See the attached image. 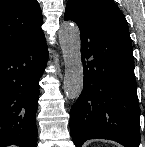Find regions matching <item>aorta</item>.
Here are the masks:
<instances>
[{"instance_id": "762f6f07", "label": "aorta", "mask_w": 145, "mask_h": 147, "mask_svg": "<svg viewBox=\"0 0 145 147\" xmlns=\"http://www.w3.org/2000/svg\"><path fill=\"white\" fill-rule=\"evenodd\" d=\"M59 40L65 65L64 91L67 98L74 100L80 96L84 82L79 28L73 22H63Z\"/></svg>"}]
</instances>
